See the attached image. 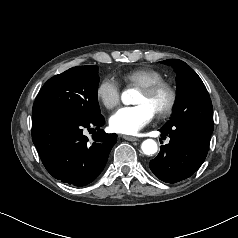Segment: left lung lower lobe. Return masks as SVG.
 <instances>
[{"instance_id":"left-lung-lower-lobe-1","label":"left lung lower lobe","mask_w":238,"mask_h":238,"mask_svg":"<svg viewBox=\"0 0 238 238\" xmlns=\"http://www.w3.org/2000/svg\"><path fill=\"white\" fill-rule=\"evenodd\" d=\"M160 132L169 135L170 142L150 161L154 175L167 183L192 176L206 158L213 129L179 123L163 126Z\"/></svg>"}]
</instances>
